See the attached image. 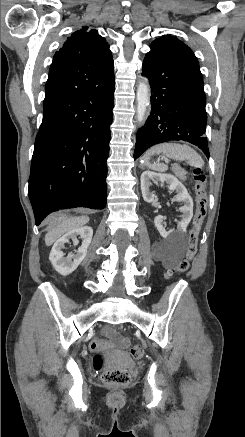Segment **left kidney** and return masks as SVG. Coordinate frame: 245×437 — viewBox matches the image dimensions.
<instances>
[{
    "instance_id": "obj_1",
    "label": "left kidney",
    "mask_w": 245,
    "mask_h": 437,
    "mask_svg": "<svg viewBox=\"0 0 245 437\" xmlns=\"http://www.w3.org/2000/svg\"><path fill=\"white\" fill-rule=\"evenodd\" d=\"M151 180L160 181L161 183L166 182L169 190L176 191L177 201L183 203V206L179 208L182 215L181 220L177 224V229L167 231L163 226V217L156 216L154 223L158 232L164 239L177 240L182 238L193 217V200L191 196L187 192L185 186L173 175L144 171L141 175V191L143 199L148 203L153 202L157 198L156 195L150 191Z\"/></svg>"
}]
</instances>
